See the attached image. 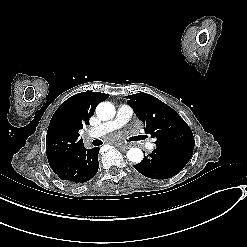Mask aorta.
I'll use <instances>...</instances> for the list:
<instances>
[{"label": "aorta", "instance_id": "aorta-1", "mask_svg": "<svg viewBox=\"0 0 247 247\" xmlns=\"http://www.w3.org/2000/svg\"><path fill=\"white\" fill-rule=\"evenodd\" d=\"M96 114L103 121L110 120L115 116V107L110 102H102L96 107ZM127 158L131 162L140 163L143 160V152L139 148H131L127 152Z\"/></svg>", "mask_w": 247, "mask_h": 247}]
</instances>
